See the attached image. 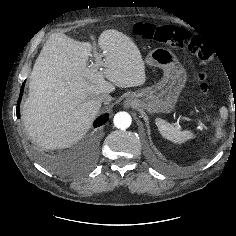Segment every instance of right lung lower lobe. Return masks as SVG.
<instances>
[{
	"label": "right lung lower lobe",
	"instance_id": "right-lung-lower-lobe-1",
	"mask_svg": "<svg viewBox=\"0 0 236 236\" xmlns=\"http://www.w3.org/2000/svg\"><path fill=\"white\" fill-rule=\"evenodd\" d=\"M22 95H23V87H21V92H20V97L18 99V105H17V109H16V112H17V117L19 118L20 117V101H21V98H22ZM108 121V114H105V115H102L101 117H99L95 122H94V128H97L101 125H103L105 122Z\"/></svg>",
	"mask_w": 236,
	"mask_h": 236
}]
</instances>
